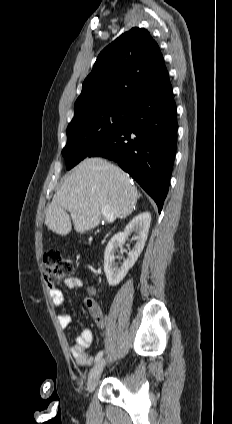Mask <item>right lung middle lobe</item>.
<instances>
[{"instance_id": "right-lung-middle-lobe-1", "label": "right lung middle lobe", "mask_w": 232, "mask_h": 424, "mask_svg": "<svg viewBox=\"0 0 232 424\" xmlns=\"http://www.w3.org/2000/svg\"><path fill=\"white\" fill-rule=\"evenodd\" d=\"M130 109L131 106L120 104L99 105L74 115L67 127V144L62 150L67 169L78 164L124 126Z\"/></svg>"}]
</instances>
